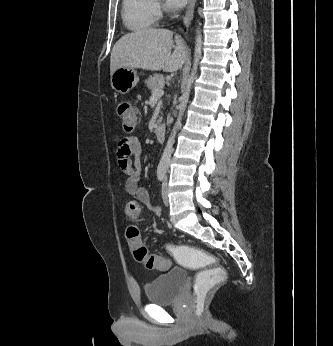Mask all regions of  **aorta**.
Here are the masks:
<instances>
[{
	"label": "aorta",
	"instance_id": "aorta-1",
	"mask_svg": "<svg viewBox=\"0 0 333 346\" xmlns=\"http://www.w3.org/2000/svg\"><path fill=\"white\" fill-rule=\"evenodd\" d=\"M201 54H202V36H201V31L198 29L196 41H195L193 68H192L191 74L188 77L185 90L181 96L177 121H176V123L172 129L171 135L169 136V139L166 143L165 149L163 151L162 157H161L160 162H159V168H168V166H169L171 155L173 152V144L175 142V136H176L177 130L181 126L182 116L184 114V111L186 109V106H187V103L189 100L191 87H192V84H193L195 77H196L198 63H199V60L201 58Z\"/></svg>",
	"mask_w": 333,
	"mask_h": 346
}]
</instances>
